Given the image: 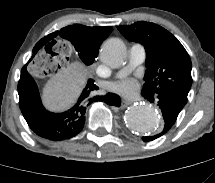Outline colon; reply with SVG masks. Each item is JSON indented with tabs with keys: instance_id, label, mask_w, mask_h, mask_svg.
<instances>
[{
	"instance_id": "colon-1",
	"label": "colon",
	"mask_w": 215,
	"mask_h": 183,
	"mask_svg": "<svg viewBox=\"0 0 215 183\" xmlns=\"http://www.w3.org/2000/svg\"><path fill=\"white\" fill-rule=\"evenodd\" d=\"M71 57V48L66 42L53 41L33 59L32 72L39 79H50L56 73L63 72L69 67Z\"/></svg>"
}]
</instances>
